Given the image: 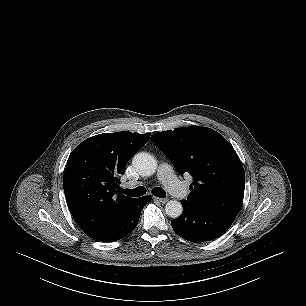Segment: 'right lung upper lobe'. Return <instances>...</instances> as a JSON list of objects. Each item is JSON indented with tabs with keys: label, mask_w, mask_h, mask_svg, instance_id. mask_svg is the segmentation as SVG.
<instances>
[{
	"label": "right lung upper lobe",
	"mask_w": 306,
	"mask_h": 306,
	"mask_svg": "<svg viewBox=\"0 0 306 306\" xmlns=\"http://www.w3.org/2000/svg\"><path fill=\"white\" fill-rule=\"evenodd\" d=\"M149 138V133H103L71 153L63 178L65 197L72 216L90 237L112 229L135 200L117 191L119 176Z\"/></svg>",
	"instance_id": "cb5924a9"
}]
</instances>
